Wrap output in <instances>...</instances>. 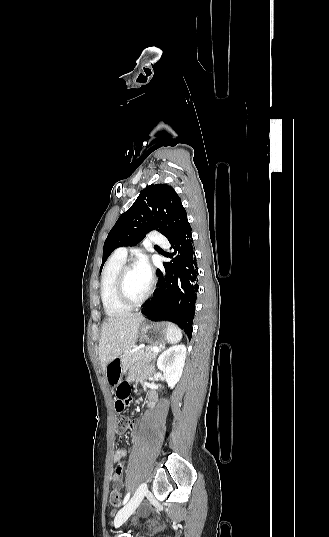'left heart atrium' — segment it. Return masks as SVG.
Masks as SVG:
<instances>
[{
	"label": "left heart atrium",
	"mask_w": 329,
	"mask_h": 537,
	"mask_svg": "<svg viewBox=\"0 0 329 537\" xmlns=\"http://www.w3.org/2000/svg\"><path fill=\"white\" fill-rule=\"evenodd\" d=\"M136 269L141 277L149 284L152 277L151 267L145 256H140L136 262Z\"/></svg>",
	"instance_id": "1"
}]
</instances>
